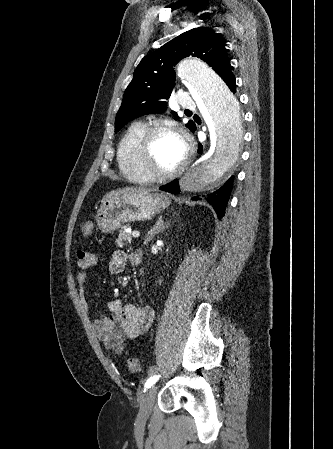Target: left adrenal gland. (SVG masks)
I'll use <instances>...</instances> for the list:
<instances>
[{"instance_id": "a2214340", "label": "left adrenal gland", "mask_w": 333, "mask_h": 449, "mask_svg": "<svg viewBox=\"0 0 333 449\" xmlns=\"http://www.w3.org/2000/svg\"><path fill=\"white\" fill-rule=\"evenodd\" d=\"M170 225V223L164 222L162 218H160L155 226L148 232L146 239H145V244L148 243L150 240H152V238L158 234L159 232L163 231L165 228H167Z\"/></svg>"}]
</instances>
